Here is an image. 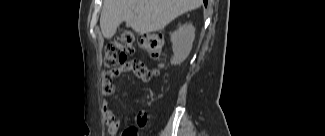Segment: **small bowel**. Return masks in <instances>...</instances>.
Instances as JSON below:
<instances>
[{
  "label": "small bowel",
  "mask_w": 325,
  "mask_h": 136,
  "mask_svg": "<svg viewBox=\"0 0 325 136\" xmlns=\"http://www.w3.org/2000/svg\"><path fill=\"white\" fill-rule=\"evenodd\" d=\"M146 58L145 57H134V60L131 62H124L117 68L103 71L102 73V89L103 92L107 95H110L113 92V84L112 80L119 74L123 72L132 71L135 76L142 81L150 80V73L148 69L145 67ZM103 111L105 120L107 123L108 132L111 135H116L121 127L120 121L116 118L115 113L109 107V105L104 102ZM148 115L145 110H140L135 116V123L137 126H144L147 122ZM126 130H137L136 126L131 125L126 128Z\"/></svg>",
  "instance_id": "1"
}]
</instances>
